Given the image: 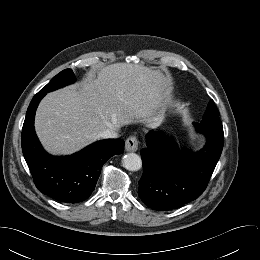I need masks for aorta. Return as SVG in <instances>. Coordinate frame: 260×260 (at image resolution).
Wrapping results in <instances>:
<instances>
[{"mask_svg": "<svg viewBox=\"0 0 260 260\" xmlns=\"http://www.w3.org/2000/svg\"><path fill=\"white\" fill-rule=\"evenodd\" d=\"M123 167L129 171H138L142 167L141 157L135 153H128L122 158Z\"/></svg>", "mask_w": 260, "mask_h": 260, "instance_id": "aorta-1", "label": "aorta"}]
</instances>
